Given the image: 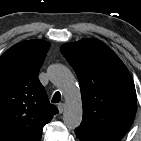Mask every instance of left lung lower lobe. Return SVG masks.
Listing matches in <instances>:
<instances>
[{"instance_id": "left-lung-lower-lobe-1", "label": "left lung lower lobe", "mask_w": 141, "mask_h": 141, "mask_svg": "<svg viewBox=\"0 0 141 141\" xmlns=\"http://www.w3.org/2000/svg\"><path fill=\"white\" fill-rule=\"evenodd\" d=\"M76 136L80 139V141H86L85 139L81 138L80 136H78V135H76Z\"/></svg>"}]
</instances>
